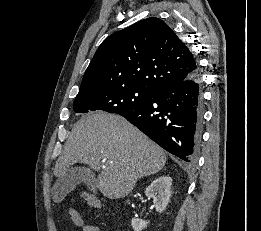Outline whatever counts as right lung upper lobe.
I'll return each instance as SVG.
<instances>
[{
  "label": "right lung upper lobe",
  "mask_w": 261,
  "mask_h": 231,
  "mask_svg": "<svg viewBox=\"0 0 261 231\" xmlns=\"http://www.w3.org/2000/svg\"><path fill=\"white\" fill-rule=\"evenodd\" d=\"M196 72L198 65L188 47L164 21L151 17L103 41L85 71L78 95L125 86L155 93Z\"/></svg>",
  "instance_id": "1"
}]
</instances>
